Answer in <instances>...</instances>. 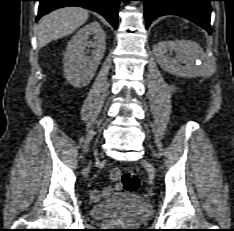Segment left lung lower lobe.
Segmentation results:
<instances>
[{
    "label": "left lung lower lobe",
    "instance_id": "obj_1",
    "mask_svg": "<svg viewBox=\"0 0 234 231\" xmlns=\"http://www.w3.org/2000/svg\"><path fill=\"white\" fill-rule=\"evenodd\" d=\"M145 2L146 29L157 17L179 15L185 17L211 33L210 1L213 0H140Z\"/></svg>",
    "mask_w": 234,
    "mask_h": 231
}]
</instances>
